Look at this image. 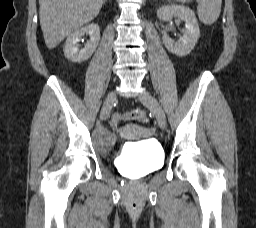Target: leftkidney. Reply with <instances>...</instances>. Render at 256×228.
Segmentation results:
<instances>
[{
	"label": "left kidney",
	"instance_id": "1",
	"mask_svg": "<svg viewBox=\"0 0 256 228\" xmlns=\"http://www.w3.org/2000/svg\"><path fill=\"white\" fill-rule=\"evenodd\" d=\"M157 17L162 21L171 17H178L185 22L183 36L178 41H174L166 34L162 37V41L165 47L177 56L182 57L189 54L194 49L200 36L195 13L183 5H165L157 10Z\"/></svg>",
	"mask_w": 256,
	"mask_h": 228
}]
</instances>
